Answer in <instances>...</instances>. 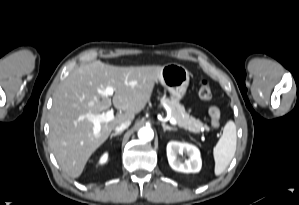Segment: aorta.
<instances>
[{
  "instance_id": "obj_1",
  "label": "aorta",
  "mask_w": 299,
  "mask_h": 205,
  "mask_svg": "<svg viewBox=\"0 0 299 205\" xmlns=\"http://www.w3.org/2000/svg\"><path fill=\"white\" fill-rule=\"evenodd\" d=\"M138 137L143 141H151L154 137V132L149 127H143L138 131Z\"/></svg>"
}]
</instances>
